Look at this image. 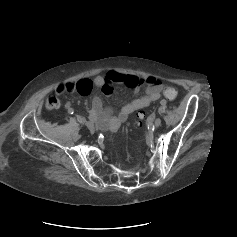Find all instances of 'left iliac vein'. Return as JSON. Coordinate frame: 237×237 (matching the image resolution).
<instances>
[{
    "instance_id": "4c4485c4",
    "label": "left iliac vein",
    "mask_w": 237,
    "mask_h": 237,
    "mask_svg": "<svg viewBox=\"0 0 237 237\" xmlns=\"http://www.w3.org/2000/svg\"><path fill=\"white\" fill-rule=\"evenodd\" d=\"M161 125V119L160 118H157L154 123H153V127H159Z\"/></svg>"
}]
</instances>
